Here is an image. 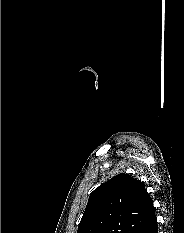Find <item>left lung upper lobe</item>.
<instances>
[{"instance_id": "5c2ea615", "label": "left lung upper lobe", "mask_w": 184, "mask_h": 233, "mask_svg": "<svg viewBox=\"0 0 184 233\" xmlns=\"http://www.w3.org/2000/svg\"><path fill=\"white\" fill-rule=\"evenodd\" d=\"M152 206L140 180L118 174L90 194L77 233H141Z\"/></svg>"}]
</instances>
